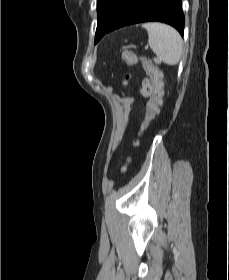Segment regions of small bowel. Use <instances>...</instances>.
<instances>
[{"instance_id": "small-bowel-1", "label": "small bowel", "mask_w": 229, "mask_h": 280, "mask_svg": "<svg viewBox=\"0 0 229 280\" xmlns=\"http://www.w3.org/2000/svg\"><path fill=\"white\" fill-rule=\"evenodd\" d=\"M149 64H151V63L148 62V61H145V62L143 63V67H144V69H145V71H146L147 74H149V72H148V65H149ZM141 92H142L143 95H145L143 88H142V91H141Z\"/></svg>"}]
</instances>
